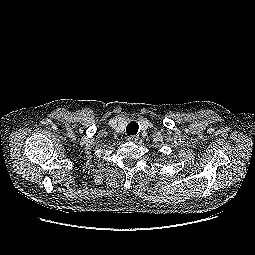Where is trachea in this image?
I'll return each mask as SVG.
<instances>
[{"label": "trachea", "instance_id": "trachea-1", "mask_svg": "<svg viewBox=\"0 0 255 255\" xmlns=\"http://www.w3.org/2000/svg\"><path fill=\"white\" fill-rule=\"evenodd\" d=\"M139 129V125L138 123H136L135 121H131L130 123H128L127 127H126V133L127 135H135L137 134Z\"/></svg>", "mask_w": 255, "mask_h": 255}]
</instances>
